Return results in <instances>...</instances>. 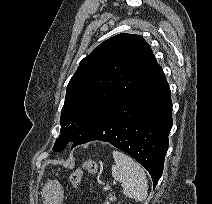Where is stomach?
<instances>
[{
	"label": "stomach",
	"instance_id": "obj_1",
	"mask_svg": "<svg viewBox=\"0 0 212 204\" xmlns=\"http://www.w3.org/2000/svg\"><path fill=\"white\" fill-rule=\"evenodd\" d=\"M44 204H62L63 189L58 181H48L42 191Z\"/></svg>",
	"mask_w": 212,
	"mask_h": 204
}]
</instances>
